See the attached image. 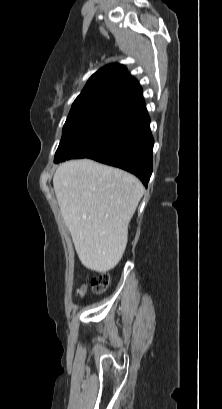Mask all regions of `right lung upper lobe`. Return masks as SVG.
Here are the masks:
<instances>
[{
    "label": "right lung upper lobe",
    "instance_id": "cb5924a9",
    "mask_svg": "<svg viewBox=\"0 0 222 409\" xmlns=\"http://www.w3.org/2000/svg\"><path fill=\"white\" fill-rule=\"evenodd\" d=\"M143 103L142 88L127 69L110 64L90 77L71 109L119 105L127 110Z\"/></svg>",
    "mask_w": 222,
    "mask_h": 409
}]
</instances>
